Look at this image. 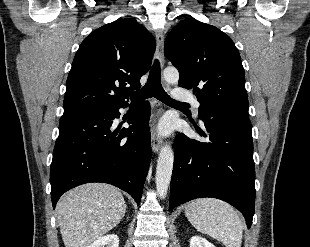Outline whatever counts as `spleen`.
<instances>
[{
    "mask_svg": "<svg viewBox=\"0 0 310 247\" xmlns=\"http://www.w3.org/2000/svg\"><path fill=\"white\" fill-rule=\"evenodd\" d=\"M185 216L201 233L226 247H241L243 224L237 211L215 198H200L187 204Z\"/></svg>",
    "mask_w": 310,
    "mask_h": 247,
    "instance_id": "spleen-1",
    "label": "spleen"
}]
</instances>
